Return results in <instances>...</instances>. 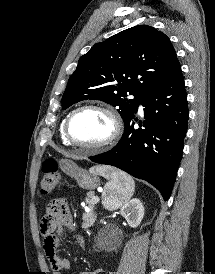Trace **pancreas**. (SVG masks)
I'll return each instance as SVG.
<instances>
[{
	"instance_id": "pancreas-1",
	"label": "pancreas",
	"mask_w": 215,
	"mask_h": 274,
	"mask_svg": "<svg viewBox=\"0 0 215 274\" xmlns=\"http://www.w3.org/2000/svg\"><path fill=\"white\" fill-rule=\"evenodd\" d=\"M94 195L89 192L87 194V197L85 199L86 204L88 205L89 212L84 213V219H85V226L88 227L92 225L95 221L96 214H95V202L93 201Z\"/></svg>"
}]
</instances>
